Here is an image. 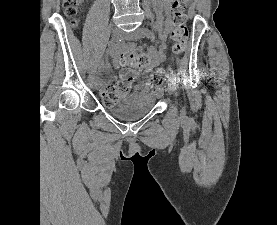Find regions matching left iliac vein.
Masks as SVG:
<instances>
[{
    "label": "left iliac vein",
    "instance_id": "obj_1",
    "mask_svg": "<svg viewBox=\"0 0 277 225\" xmlns=\"http://www.w3.org/2000/svg\"><path fill=\"white\" fill-rule=\"evenodd\" d=\"M143 36H144V31L142 28H139L133 32L125 33L123 35V38L137 41L143 38ZM176 87H177L176 81L173 78H171L168 84V93L170 95H174L176 92Z\"/></svg>",
    "mask_w": 277,
    "mask_h": 225
}]
</instances>
